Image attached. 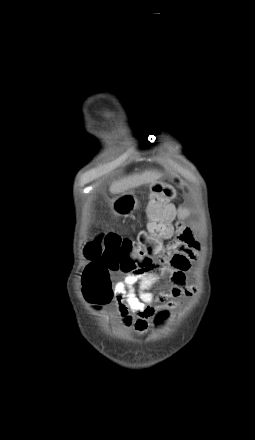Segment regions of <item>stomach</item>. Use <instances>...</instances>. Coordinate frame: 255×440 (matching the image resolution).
Wrapping results in <instances>:
<instances>
[{
    "instance_id": "stomach-1",
    "label": "stomach",
    "mask_w": 255,
    "mask_h": 440,
    "mask_svg": "<svg viewBox=\"0 0 255 440\" xmlns=\"http://www.w3.org/2000/svg\"><path fill=\"white\" fill-rule=\"evenodd\" d=\"M138 200L134 192H124L112 200L111 210L117 216L127 217L138 208Z\"/></svg>"
}]
</instances>
